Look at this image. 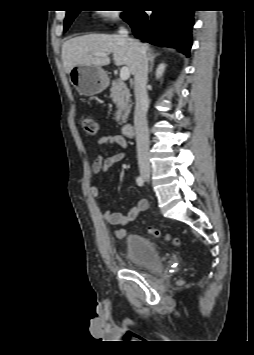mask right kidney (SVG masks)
I'll use <instances>...</instances> for the list:
<instances>
[{
	"instance_id": "1",
	"label": "right kidney",
	"mask_w": 254,
	"mask_h": 355,
	"mask_svg": "<svg viewBox=\"0 0 254 355\" xmlns=\"http://www.w3.org/2000/svg\"><path fill=\"white\" fill-rule=\"evenodd\" d=\"M165 67L166 65L164 63H161L158 67H157V70H156V78L159 79L163 73H164V70H165Z\"/></svg>"
}]
</instances>
